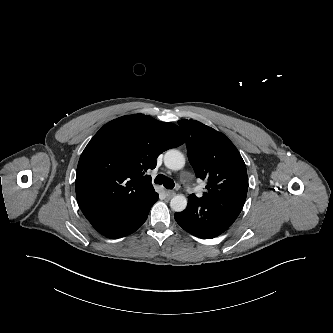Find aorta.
Returning a JSON list of instances; mask_svg holds the SVG:
<instances>
[{
  "label": "aorta",
  "instance_id": "762f6f07",
  "mask_svg": "<svg viewBox=\"0 0 333 333\" xmlns=\"http://www.w3.org/2000/svg\"><path fill=\"white\" fill-rule=\"evenodd\" d=\"M164 164L171 170H180L185 165V157L180 151L171 149L164 155ZM170 206L173 211L181 212L187 206V198L182 194L176 195L171 199Z\"/></svg>",
  "mask_w": 333,
  "mask_h": 333
}]
</instances>
